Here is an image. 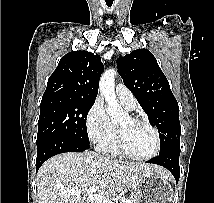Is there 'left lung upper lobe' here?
Listing matches in <instances>:
<instances>
[{
    "mask_svg": "<svg viewBox=\"0 0 214 203\" xmlns=\"http://www.w3.org/2000/svg\"><path fill=\"white\" fill-rule=\"evenodd\" d=\"M125 86L133 93L160 136V153L180 148L179 106L156 58L138 49L117 60Z\"/></svg>",
    "mask_w": 214,
    "mask_h": 203,
    "instance_id": "left-lung-upper-lobe-1",
    "label": "left lung upper lobe"
}]
</instances>
